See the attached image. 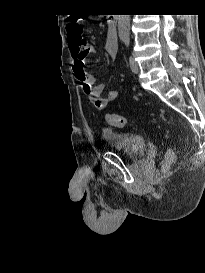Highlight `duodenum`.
Listing matches in <instances>:
<instances>
[{"instance_id":"410a0bca","label":"duodenum","mask_w":205,"mask_h":273,"mask_svg":"<svg viewBox=\"0 0 205 273\" xmlns=\"http://www.w3.org/2000/svg\"><path fill=\"white\" fill-rule=\"evenodd\" d=\"M116 23H117V16L115 14L108 16L107 25L109 26L110 30L112 31V35L114 36L115 39H117Z\"/></svg>"}]
</instances>
